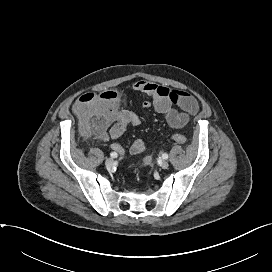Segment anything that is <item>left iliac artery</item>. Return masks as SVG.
I'll return each instance as SVG.
<instances>
[{"instance_id": "1", "label": "left iliac artery", "mask_w": 272, "mask_h": 272, "mask_svg": "<svg viewBox=\"0 0 272 272\" xmlns=\"http://www.w3.org/2000/svg\"><path fill=\"white\" fill-rule=\"evenodd\" d=\"M162 158L163 159H168V154L167 153L162 154Z\"/></svg>"}]
</instances>
